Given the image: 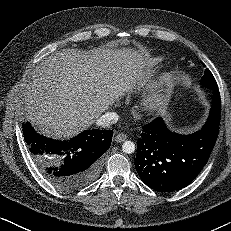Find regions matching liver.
<instances>
[{"label": "liver", "mask_w": 231, "mask_h": 231, "mask_svg": "<svg viewBox=\"0 0 231 231\" xmlns=\"http://www.w3.org/2000/svg\"><path fill=\"white\" fill-rule=\"evenodd\" d=\"M150 64L144 49L55 52L34 69L26 86L27 119L44 135L70 138L92 125L120 96L143 87Z\"/></svg>", "instance_id": "1"}]
</instances>
